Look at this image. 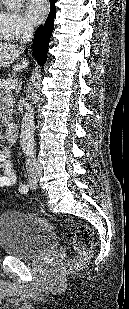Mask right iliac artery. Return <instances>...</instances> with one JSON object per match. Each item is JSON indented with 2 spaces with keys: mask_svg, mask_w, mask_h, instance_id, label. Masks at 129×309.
<instances>
[{
  "mask_svg": "<svg viewBox=\"0 0 129 309\" xmlns=\"http://www.w3.org/2000/svg\"><path fill=\"white\" fill-rule=\"evenodd\" d=\"M28 190H29V187L26 184H22L19 187V192L22 193V194H26L28 192Z\"/></svg>",
  "mask_w": 129,
  "mask_h": 309,
  "instance_id": "82829eb1",
  "label": "right iliac artery"
}]
</instances>
